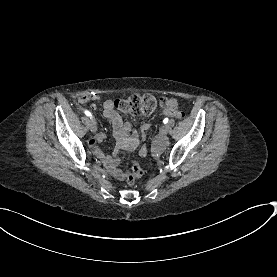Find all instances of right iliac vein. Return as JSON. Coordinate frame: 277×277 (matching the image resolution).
I'll return each mask as SVG.
<instances>
[{
    "instance_id": "63e3f726",
    "label": "right iliac vein",
    "mask_w": 277,
    "mask_h": 277,
    "mask_svg": "<svg viewBox=\"0 0 277 277\" xmlns=\"http://www.w3.org/2000/svg\"><path fill=\"white\" fill-rule=\"evenodd\" d=\"M89 127L91 132L95 133L97 131V123L95 121V119L91 118L89 121Z\"/></svg>"
}]
</instances>
